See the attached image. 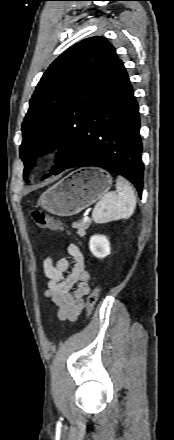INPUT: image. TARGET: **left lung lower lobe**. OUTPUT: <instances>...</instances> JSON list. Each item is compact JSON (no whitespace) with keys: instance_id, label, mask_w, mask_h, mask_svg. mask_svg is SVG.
Returning a JSON list of instances; mask_svg holds the SVG:
<instances>
[{"instance_id":"obj_1","label":"left lung lower lobe","mask_w":174,"mask_h":440,"mask_svg":"<svg viewBox=\"0 0 174 440\" xmlns=\"http://www.w3.org/2000/svg\"><path fill=\"white\" fill-rule=\"evenodd\" d=\"M141 152L139 106L124 64L119 60L105 90L86 117L80 150L60 172L80 166L106 168L130 180L141 196L144 169Z\"/></svg>"}]
</instances>
